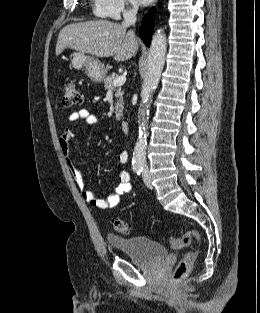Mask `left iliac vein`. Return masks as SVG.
I'll use <instances>...</instances> for the list:
<instances>
[{
  "instance_id": "left-iliac-vein-1",
  "label": "left iliac vein",
  "mask_w": 260,
  "mask_h": 313,
  "mask_svg": "<svg viewBox=\"0 0 260 313\" xmlns=\"http://www.w3.org/2000/svg\"><path fill=\"white\" fill-rule=\"evenodd\" d=\"M142 177H143V181L145 183V185L149 188H152V183H151V178H150V174H149V169L148 168H145L143 170V173H142Z\"/></svg>"
}]
</instances>
